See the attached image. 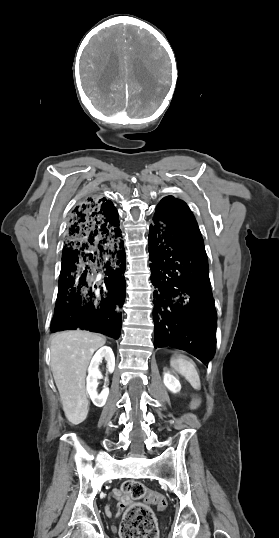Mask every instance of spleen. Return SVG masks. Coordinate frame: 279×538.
Listing matches in <instances>:
<instances>
[{"label":"spleen","instance_id":"3e777b00","mask_svg":"<svg viewBox=\"0 0 279 538\" xmlns=\"http://www.w3.org/2000/svg\"><path fill=\"white\" fill-rule=\"evenodd\" d=\"M170 366L178 374L185 376L186 380L195 388V393H200V388H198L200 386V379L197 370H195V364L191 360H185V356H174L170 360Z\"/></svg>","mask_w":279,"mask_h":538}]
</instances>
